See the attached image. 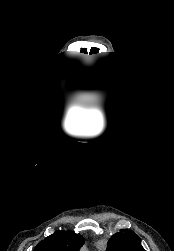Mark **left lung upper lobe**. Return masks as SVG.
I'll return each mask as SVG.
<instances>
[{"label":"left lung upper lobe","instance_id":"1","mask_svg":"<svg viewBox=\"0 0 174 251\" xmlns=\"http://www.w3.org/2000/svg\"><path fill=\"white\" fill-rule=\"evenodd\" d=\"M108 241L107 251H145L140 238L132 231L121 230Z\"/></svg>","mask_w":174,"mask_h":251}]
</instances>
